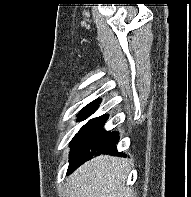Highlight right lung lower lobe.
I'll list each match as a JSON object with an SVG mask.
<instances>
[{
    "label": "right lung lower lobe",
    "instance_id": "right-lung-lower-lobe-1",
    "mask_svg": "<svg viewBox=\"0 0 191 197\" xmlns=\"http://www.w3.org/2000/svg\"><path fill=\"white\" fill-rule=\"evenodd\" d=\"M96 109L97 107L91 110V113ZM107 119V114L102 115L90 120L80 129L75 144L72 147L67 175L94 156L101 154L123 156V154L117 152L116 144L119 141L118 133L107 132L103 128Z\"/></svg>",
    "mask_w": 191,
    "mask_h": 197
}]
</instances>
